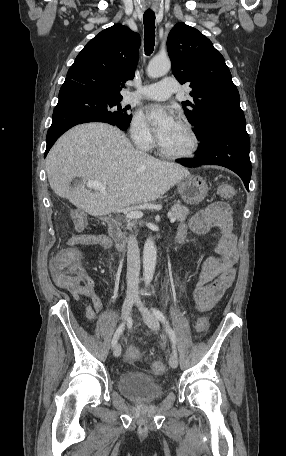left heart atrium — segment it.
<instances>
[{
  "mask_svg": "<svg viewBox=\"0 0 286 456\" xmlns=\"http://www.w3.org/2000/svg\"><path fill=\"white\" fill-rule=\"evenodd\" d=\"M146 116L154 125L159 141L164 140L178 125L173 112L163 106H149L146 109Z\"/></svg>",
  "mask_w": 286,
  "mask_h": 456,
  "instance_id": "left-heart-atrium-1",
  "label": "left heart atrium"
}]
</instances>
